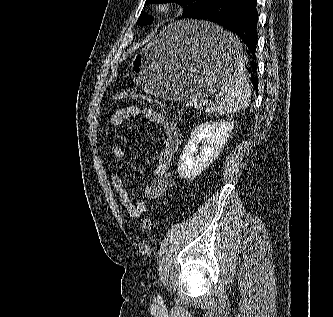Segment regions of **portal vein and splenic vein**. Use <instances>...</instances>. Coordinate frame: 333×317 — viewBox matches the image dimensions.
I'll return each instance as SVG.
<instances>
[{
	"mask_svg": "<svg viewBox=\"0 0 333 317\" xmlns=\"http://www.w3.org/2000/svg\"><path fill=\"white\" fill-rule=\"evenodd\" d=\"M202 103H203V104H208V101H203ZM193 104L197 106L198 102H197L196 99H192V101H189V102L187 103V106H193ZM209 104H210V103H209Z\"/></svg>",
	"mask_w": 333,
	"mask_h": 317,
	"instance_id": "18ae733b",
	"label": "portal vein and splenic vein"
}]
</instances>
